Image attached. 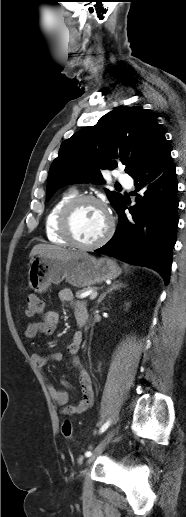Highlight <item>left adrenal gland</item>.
Segmentation results:
<instances>
[{
	"label": "left adrenal gland",
	"mask_w": 186,
	"mask_h": 517,
	"mask_svg": "<svg viewBox=\"0 0 186 517\" xmlns=\"http://www.w3.org/2000/svg\"><path fill=\"white\" fill-rule=\"evenodd\" d=\"M124 287H126V286L123 285L122 283H120L119 281H115L104 293H102L100 295L99 299L97 300V306L104 300V298L106 297L107 294H110L116 290H120L121 288H124Z\"/></svg>",
	"instance_id": "left-adrenal-gland-1"
}]
</instances>
